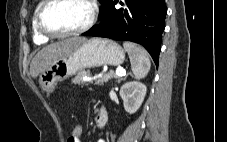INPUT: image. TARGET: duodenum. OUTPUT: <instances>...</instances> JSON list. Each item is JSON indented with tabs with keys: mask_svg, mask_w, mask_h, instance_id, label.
<instances>
[{
	"mask_svg": "<svg viewBox=\"0 0 227 142\" xmlns=\"http://www.w3.org/2000/svg\"><path fill=\"white\" fill-rule=\"evenodd\" d=\"M108 121V112L105 107H101L96 116V125L98 128H103Z\"/></svg>",
	"mask_w": 227,
	"mask_h": 142,
	"instance_id": "duodenum-1",
	"label": "duodenum"
}]
</instances>
